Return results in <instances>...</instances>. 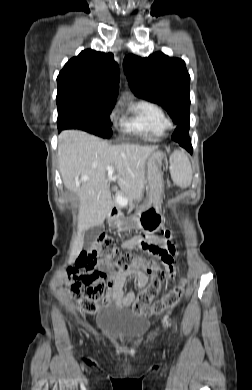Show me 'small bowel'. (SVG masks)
I'll return each instance as SVG.
<instances>
[{"label": "small bowel", "mask_w": 252, "mask_h": 390, "mask_svg": "<svg viewBox=\"0 0 252 390\" xmlns=\"http://www.w3.org/2000/svg\"><path fill=\"white\" fill-rule=\"evenodd\" d=\"M142 236L138 235L126 242L127 249L141 248ZM150 242L156 246V249L151 250V253L158 256L164 265L168 267L163 261L164 254L172 257L173 261L177 254L176 247L173 243L170 232L165 231L163 235H150ZM99 268L107 273V292L103 300V305L106 308L115 306L117 309H124L131 307L136 299V294L133 291L125 292V286L129 280H133L135 287L139 290L145 288L148 284V276L138 270L116 271L108 267L104 262H98Z\"/></svg>", "instance_id": "c3829d8e"}]
</instances>
